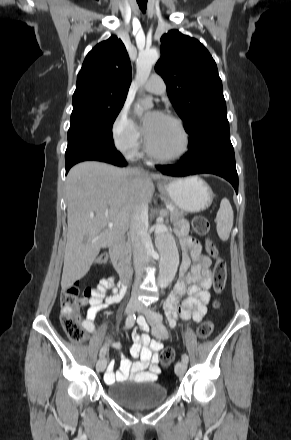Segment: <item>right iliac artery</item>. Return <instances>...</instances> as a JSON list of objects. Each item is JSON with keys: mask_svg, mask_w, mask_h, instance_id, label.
<instances>
[{"mask_svg": "<svg viewBox=\"0 0 291 440\" xmlns=\"http://www.w3.org/2000/svg\"><path fill=\"white\" fill-rule=\"evenodd\" d=\"M135 315L134 314H130L127 318H126V322H125V328H130L134 325L135 322ZM107 351V345H103L101 350H100V357H104Z\"/></svg>", "mask_w": 291, "mask_h": 440, "instance_id": "right-iliac-artery-1", "label": "right iliac artery"}]
</instances>
